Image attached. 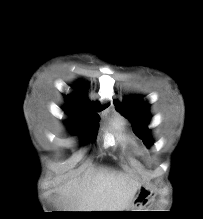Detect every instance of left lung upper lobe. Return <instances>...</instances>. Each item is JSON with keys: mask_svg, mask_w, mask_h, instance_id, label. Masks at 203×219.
<instances>
[{"mask_svg": "<svg viewBox=\"0 0 203 219\" xmlns=\"http://www.w3.org/2000/svg\"><path fill=\"white\" fill-rule=\"evenodd\" d=\"M114 103L118 110L130 120L134 133L143 139L146 145H149L151 143L150 131L146 128L150 120L149 105L143 103L140 97H137L131 102L124 101L120 103L115 100Z\"/></svg>", "mask_w": 203, "mask_h": 219, "instance_id": "5c2ea615", "label": "left lung upper lobe"}]
</instances>
